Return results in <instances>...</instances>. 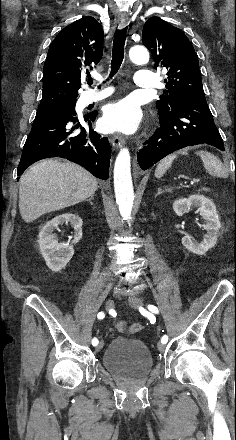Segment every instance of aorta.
Here are the masks:
<instances>
[{
    "mask_svg": "<svg viewBox=\"0 0 236 440\" xmlns=\"http://www.w3.org/2000/svg\"><path fill=\"white\" fill-rule=\"evenodd\" d=\"M129 58L135 64H146L149 52L144 46L136 45L129 50ZM114 189L116 202L124 220L131 219L134 191L131 178L130 153L127 148L121 149L114 165Z\"/></svg>",
    "mask_w": 236,
    "mask_h": 440,
    "instance_id": "762f6f07",
    "label": "aorta"
}]
</instances>
